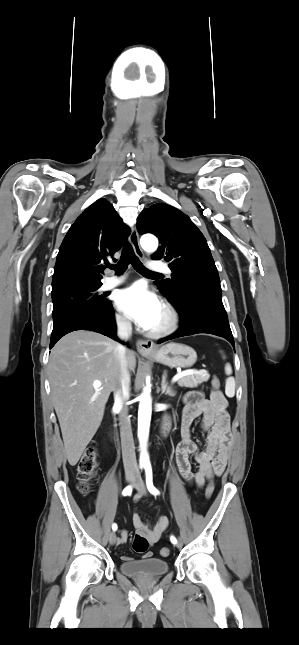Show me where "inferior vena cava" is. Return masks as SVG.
<instances>
[{
  "label": "inferior vena cava",
  "instance_id": "inferior-vena-cava-1",
  "mask_svg": "<svg viewBox=\"0 0 299 645\" xmlns=\"http://www.w3.org/2000/svg\"><path fill=\"white\" fill-rule=\"evenodd\" d=\"M117 335L120 339L125 341L131 337L132 326L129 319L124 317L117 318ZM115 353L119 366L120 385L114 392V400L115 405L120 408L119 421L123 463L125 471H133L137 473L138 466L135 455V446L131 422L128 417V407L126 405L130 391V374L126 358L127 349L125 346L118 344Z\"/></svg>",
  "mask_w": 299,
  "mask_h": 645
}]
</instances>
